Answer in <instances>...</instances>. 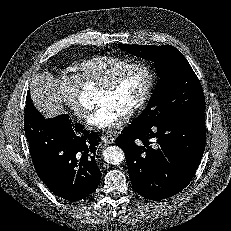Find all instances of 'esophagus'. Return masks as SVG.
<instances>
[{"label":"esophagus","mask_w":231,"mask_h":231,"mask_svg":"<svg viewBox=\"0 0 231 231\" xmlns=\"http://www.w3.org/2000/svg\"><path fill=\"white\" fill-rule=\"evenodd\" d=\"M102 141L105 143V144H112L115 142V135H112V134H105L102 136Z\"/></svg>","instance_id":"1"}]
</instances>
